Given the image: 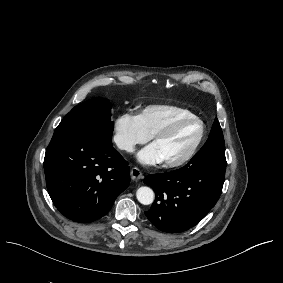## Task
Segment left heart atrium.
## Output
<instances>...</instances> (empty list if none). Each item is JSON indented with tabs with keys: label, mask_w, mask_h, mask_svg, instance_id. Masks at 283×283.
I'll use <instances>...</instances> for the list:
<instances>
[{
	"label": "left heart atrium",
	"mask_w": 283,
	"mask_h": 283,
	"mask_svg": "<svg viewBox=\"0 0 283 283\" xmlns=\"http://www.w3.org/2000/svg\"><path fill=\"white\" fill-rule=\"evenodd\" d=\"M136 157L138 162L144 166H155L165 162L164 154L157 141L140 149Z\"/></svg>",
	"instance_id": "obj_1"
}]
</instances>
